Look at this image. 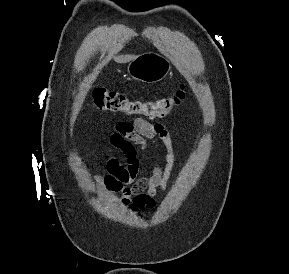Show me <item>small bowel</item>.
<instances>
[{
  "instance_id": "c3829d8e",
  "label": "small bowel",
  "mask_w": 289,
  "mask_h": 274,
  "mask_svg": "<svg viewBox=\"0 0 289 274\" xmlns=\"http://www.w3.org/2000/svg\"><path fill=\"white\" fill-rule=\"evenodd\" d=\"M109 142L124 155L126 163H121L114 155L109 156L107 174L98 179L99 183L109 191L121 194V206L124 209L134 214L152 210L158 192L166 190L175 164L170 132L161 123L136 118L133 123L119 122ZM149 146H163L165 153L149 176L140 177L138 153L146 152Z\"/></svg>"
}]
</instances>
